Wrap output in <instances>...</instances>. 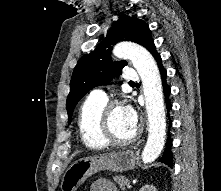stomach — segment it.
I'll list each match as a JSON object with an SVG mask.
<instances>
[{"label": "stomach", "instance_id": "obj_1", "mask_svg": "<svg viewBox=\"0 0 221 191\" xmlns=\"http://www.w3.org/2000/svg\"><path fill=\"white\" fill-rule=\"evenodd\" d=\"M137 164L138 158L133 150L79 159L66 170L61 191H76L88 177L99 171L125 172L134 169Z\"/></svg>", "mask_w": 221, "mask_h": 191}]
</instances>
